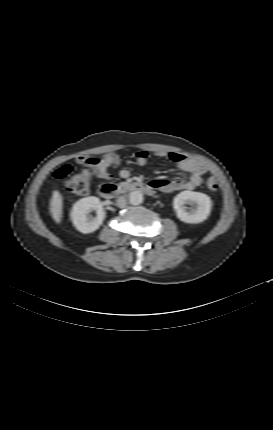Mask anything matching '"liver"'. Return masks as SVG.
<instances>
[{"mask_svg":"<svg viewBox=\"0 0 273 430\" xmlns=\"http://www.w3.org/2000/svg\"><path fill=\"white\" fill-rule=\"evenodd\" d=\"M62 208H63L62 196L58 191H54L50 202V212L56 223L61 222Z\"/></svg>","mask_w":273,"mask_h":430,"instance_id":"6515ba94","label":"liver"}]
</instances>
